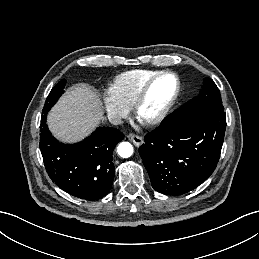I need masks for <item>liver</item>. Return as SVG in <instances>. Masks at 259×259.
<instances>
[{"label":"liver","mask_w":259,"mask_h":259,"mask_svg":"<svg viewBox=\"0 0 259 259\" xmlns=\"http://www.w3.org/2000/svg\"><path fill=\"white\" fill-rule=\"evenodd\" d=\"M104 119L101 99L90 86L70 87L48 115V126L59 140L78 142Z\"/></svg>","instance_id":"6515ba94"}]
</instances>
